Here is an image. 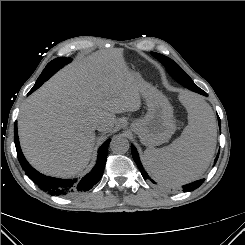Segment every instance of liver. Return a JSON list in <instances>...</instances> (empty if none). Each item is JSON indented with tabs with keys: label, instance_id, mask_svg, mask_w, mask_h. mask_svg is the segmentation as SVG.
<instances>
[{
	"label": "liver",
	"instance_id": "6515ba94",
	"mask_svg": "<svg viewBox=\"0 0 245 245\" xmlns=\"http://www.w3.org/2000/svg\"><path fill=\"white\" fill-rule=\"evenodd\" d=\"M141 95L123 49L97 51L64 68L21 108L18 133L26 159L47 175L79 174L90 161L96 125L110 132L116 113L140 109Z\"/></svg>",
	"mask_w": 245,
	"mask_h": 245
}]
</instances>
